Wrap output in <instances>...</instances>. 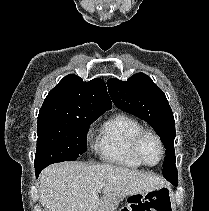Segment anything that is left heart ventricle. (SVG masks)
I'll use <instances>...</instances> for the list:
<instances>
[{"instance_id": "b2bd125f", "label": "left heart ventricle", "mask_w": 209, "mask_h": 211, "mask_svg": "<svg viewBox=\"0 0 209 211\" xmlns=\"http://www.w3.org/2000/svg\"><path fill=\"white\" fill-rule=\"evenodd\" d=\"M141 153L148 163H156L160 158V147L157 141L150 136L144 137L141 143Z\"/></svg>"}]
</instances>
